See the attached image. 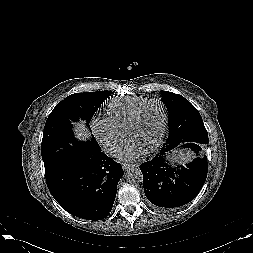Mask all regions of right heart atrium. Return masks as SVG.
<instances>
[{"mask_svg": "<svg viewBox=\"0 0 253 253\" xmlns=\"http://www.w3.org/2000/svg\"><path fill=\"white\" fill-rule=\"evenodd\" d=\"M91 127L98 143L106 152L113 154L122 145L124 133L118 130L109 119L95 117L92 119Z\"/></svg>", "mask_w": 253, "mask_h": 253, "instance_id": "obj_1", "label": "right heart atrium"}]
</instances>
